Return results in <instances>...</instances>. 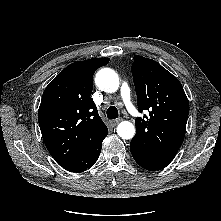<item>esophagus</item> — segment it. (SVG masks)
Segmentation results:
<instances>
[{
	"label": "esophagus",
	"mask_w": 221,
	"mask_h": 221,
	"mask_svg": "<svg viewBox=\"0 0 221 221\" xmlns=\"http://www.w3.org/2000/svg\"><path fill=\"white\" fill-rule=\"evenodd\" d=\"M122 120H123L122 118H117V119L111 120L110 123H111V125L114 127V126H116L119 122H121Z\"/></svg>",
	"instance_id": "34e87169"
}]
</instances>
